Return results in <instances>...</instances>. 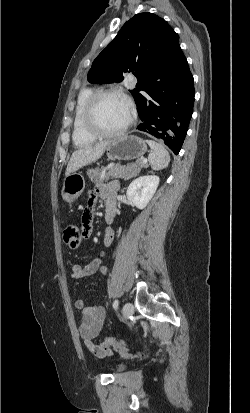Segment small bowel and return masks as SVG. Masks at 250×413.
Segmentation results:
<instances>
[{"label": "small bowel", "instance_id": "obj_1", "mask_svg": "<svg viewBox=\"0 0 250 413\" xmlns=\"http://www.w3.org/2000/svg\"><path fill=\"white\" fill-rule=\"evenodd\" d=\"M118 190V184L115 182L102 184L92 191L87 200L82 222L83 226L80 229V236L82 238H89L92 233V218L94 215V207L97 197L100 196L106 201V209L115 207V195ZM114 231L108 227L105 230L104 244L107 248L113 245ZM100 271L106 274L107 267L105 265V256L102 253L101 257L93 259L88 265L81 266L73 264L69 273L72 280H81L89 277ZM76 308L81 310V323L79 325V334L84 339L88 350L97 357H105L110 355L111 347H105L97 344L94 339L99 335L106 321V310L101 305L87 306L83 298H79L75 302Z\"/></svg>", "mask_w": 250, "mask_h": 413}]
</instances>
